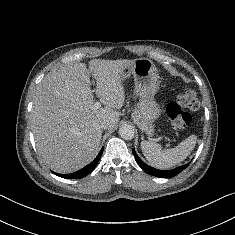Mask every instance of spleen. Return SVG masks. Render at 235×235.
Listing matches in <instances>:
<instances>
[{
  "label": "spleen",
  "instance_id": "obj_1",
  "mask_svg": "<svg viewBox=\"0 0 235 235\" xmlns=\"http://www.w3.org/2000/svg\"><path fill=\"white\" fill-rule=\"evenodd\" d=\"M197 136L191 135L175 148L163 150L160 144L142 141L141 149L149 164L158 169L172 168L185 160L193 151Z\"/></svg>",
  "mask_w": 235,
  "mask_h": 235
}]
</instances>
